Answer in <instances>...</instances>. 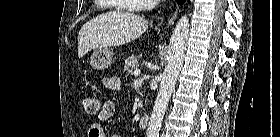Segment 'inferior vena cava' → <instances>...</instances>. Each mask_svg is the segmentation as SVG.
Listing matches in <instances>:
<instances>
[{
  "instance_id": "inferior-vena-cava-1",
  "label": "inferior vena cava",
  "mask_w": 280,
  "mask_h": 137,
  "mask_svg": "<svg viewBox=\"0 0 280 137\" xmlns=\"http://www.w3.org/2000/svg\"><path fill=\"white\" fill-rule=\"evenodd\" d=\"M155 5H156V2L153 1V0H150L149 3H148V8L151 9V8H153Z\"/></svg>"
}]
</instances>
